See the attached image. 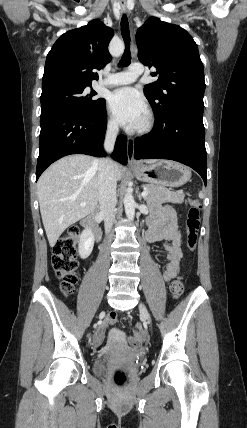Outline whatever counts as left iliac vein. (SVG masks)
I'll use <instances>...</instances> for the list:
<instances>
[{
	"mask_svg": "<svg viewBox=\"0 0 247 428\" xmlns=\"http://www.w3.org/2000/svg\"><path fill=\"white\" fill-rule=\"evenodd\" d=\"M139 309L143 317L147 320L148 323H150V315L148 313V310L146 309L145 305L140 303Z\"/></svg>",
	"mask_w": 247,
	"mask_h": 428,
	"instance_id": "left-iliac-vein-1",
	"label": "left iliac vein"
}]
</instances>
